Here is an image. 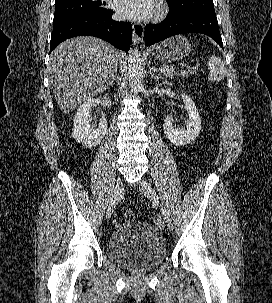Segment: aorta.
Masks as SVG:
<instances>
[{
  "instance_id": "obj_1",
  "label": "aorta",
  "mask_w": 272,
  "mask_h": 303,
  "mask_svg": "<svg viewBox=\"0 0 272 303\" xmlns=\"http://www.w3.org/2000/svg\"><path fill=\"white\" fill-rule=\"evenodd\" d=\"M129 86L132 93L138 94L143 89V66L140 52L131 49L128 56Z\"/></svg>"
}]
</instances>
